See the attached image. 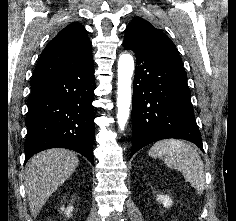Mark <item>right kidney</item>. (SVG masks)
I'll return each instance as SVG.
<instances>
[{
  "label": "right kidney",
  "instance_id": "1",
  "mask_svg": "<svg viewBox=\"0 0 236 221\" xmlns=\"http://www.w3.org/2000/svg\"><path fill=\"white\" fill-rule=\"evenodd\" d=\"M61 210L64 211V207H62ZM72 212H73V207H72V206H69V207L65 210V213H66L67 217H70V216L72 215V214H71Z\"/></svg>",
  "mask_w": 236,
  "mask_h": 221
}]
</instances>
